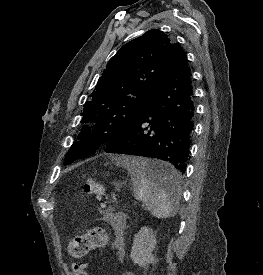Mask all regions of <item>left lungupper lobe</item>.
<instances>
[{
    "mask_svg": "<svg viewBox=\"0 0 263 275\" xmlns=\"http://www.w3.org/2000/svg\"><path fill=\"white\" fill-rule=\"evenodd\" d=\"M182 49L158 29L128 42L111 58L86 101L85 125L65 165L90 157L102 144L128 132L163 81L175 52Z\"/></svg>",
    "mask_w": 263,
    "mask_h": 275,
    "instance_id": "5c2ea615",
    "label": "left lung upper lobe"
}]
</instances>
